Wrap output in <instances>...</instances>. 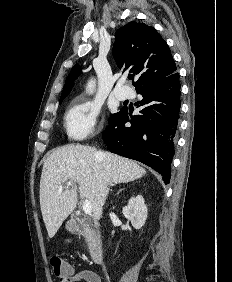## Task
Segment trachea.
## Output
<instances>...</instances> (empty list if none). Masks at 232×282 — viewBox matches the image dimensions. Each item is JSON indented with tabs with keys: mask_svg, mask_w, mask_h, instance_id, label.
Returning a JSON list of instances; mask_svg holds the SVG:
<instances>
[{
	"mask_svg": "<svg viewBox=\"0 0 232 282\" xmlns=\"http://www.w3.org/2000/svg\"><path fill=\"white\" fill-rule=\"evenodd\" d=\"M132 78H133V76H131V75H130V76H128V79H129V80H131Z\"/></svg>",
	"mask_w": 232,
	"mask_h": 282,
	"instance_id": "obj_1",
	"label": "trachea"
}]
</instances>
